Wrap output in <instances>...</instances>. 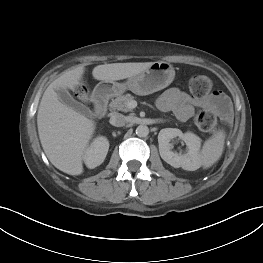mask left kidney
<instances>
[{
	"instance_id": "left-kidney-1",
	"label": "left kidney",
	"mask_w": 263,
	"mask_h": 263,
	"mask_svg": "<svg viewBox=\"0 0 263 263\" xmlns=\"http://www.w3.org/2000/svg\"><path fill=\"white\" fill-rule=\"evenodd\" d=\"M176 137L186 143L187 153L180 154L171 150L172 144L170 141ZM158 143L161 158L174 168L181 167L184 170L194 171L200 167L201 139L197 135L191 132L182 133L177 128H165L160 130L158 134Z\"/></svg>"
}]
</instances>
